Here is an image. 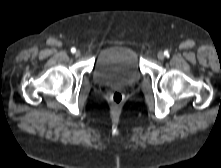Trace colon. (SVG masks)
Instances as JSON below:
<instances>
[{"mask_svg":"<svg viewBox=\"0 0 221 168\" xmlns=\"http://www.w3.org/2000/svg\"><path fill=\"white\" fill-rule=\"evenodd\" d=\"M123 100H124V96L119 91H115L110 95V101L114 107L120 106Z\"/></svg>","mask_w":221,"mask_h":168,"instance_id":"1","label":"colon"}]
</instances>
